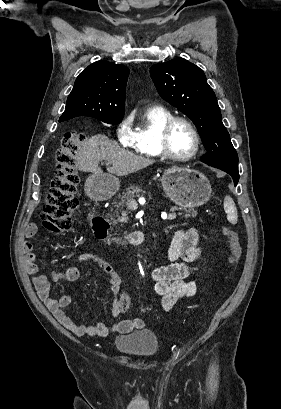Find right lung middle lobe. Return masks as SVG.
I'll use <instances>...</instances> for the list:
<instances>
[{
    "label": "right lung middle lobe",
    "instance_id": "obj_1",
    "mask_svg": "<svg viewBox=\"0 0 281 409\" xmlns=\"http://www.w3.org/2000/svg\"><path fill=\"white\" fill-rule=\"evenodd\" d=\"M99 120L108 123V124H119L122 121V118H99Z\"/></svg>",
    "mask_w": 281,
    "mask_h": 409
}]
</instances>
